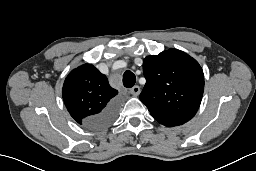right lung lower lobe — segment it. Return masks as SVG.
I'll return each instance as SVG.
<instances>
[{"instance_id": "right-lung-lower-lobe-1", "label": "right lung lower lobe", "mask_w": 256, "mask_h": 171, "mask_svg": "<svg viewBox=\"0 0 256 171\" xmlns=\"http://www.w3.org/2000/svg\"><path fill=\"white\" fill-rule=\"evenodd\" d=\"M117 110H118V105H117V102L114 101L100 114L88 120L90 127L99 128V127H105L111 124L116 117Z\"/></svg>"}]
</instances>
